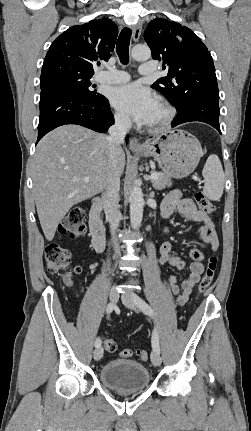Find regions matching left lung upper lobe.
Listing matches in <instances>:
<instances>
[{"label": "left lung upper lobe", "mask_w": 251, "mask_h": 431, "mask_svg": "<svg viewBox=\"0 0 251 431\" xmlns=\"http://www.w3.org/2000/svg\"><path fill=\"white\" fill-rule=\"evenodd\" d=\"M144 38L153 59L163 61V69H168V77L158 79L151 87L161 92L177 111L193 99H219L213 59L192 30L156 18L147 26Z\"/></svg>", "instance_id": "left-lung-upper-lobe-1"}]
</instances>
